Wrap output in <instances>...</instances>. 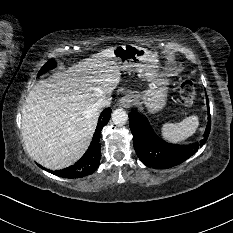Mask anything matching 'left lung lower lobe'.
<instances>
[{"label": "left lung lower lobe", "mask_w": 233, "mask_h": 233, "mask_svg": "<svg viewBox=\"0 0 233 233\" xmlns=\"http://www.w3.org/2000/svg\"><path fill=\"white\" fill-rule=\"evenodd\" d=\"M206 99L208 124L203 139L189 145H175L165 142L155 134L146 118L142 117L136 111L130 113L129 125L133 134L134 149L139 159L147 166L156 169H168L184 162L194 155L199 147L204 145L210 133L211 117L207 96Z\"/></svg>", "instance_id": "left-lung-lower-lobe-1"}]
</instances>
